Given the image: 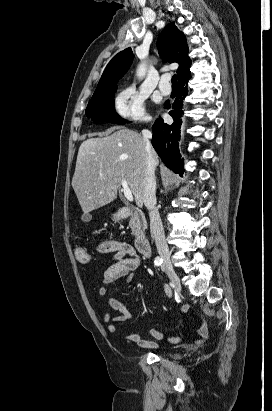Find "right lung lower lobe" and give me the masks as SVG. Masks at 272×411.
<instances>
[{"label":"right lung lower lobe","instance_id":"1","mask_svg":"<svg viewBox=\"0 0 272 411\" xmlns=\"http://www.w3.org/2000/svg\"><path fill=\"white\" fill-rule=\"evenodd\" d=\"M187 82L188 80L178 82V95L172 105V110L169 112L174 122L167 124L163 119L158 118L152 127V145L154 149L165 165L181 176L184 169L183 160H180L178 140L182 124L183 99L188 93ZM166 107H169V105Z\"/></svg>","mask_w":272,"mask_h":411}]
</instances>
